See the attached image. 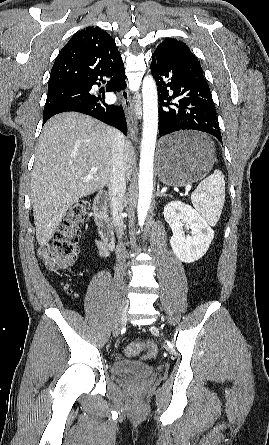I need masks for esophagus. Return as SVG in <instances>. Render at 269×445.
Wrapping results in <instances>:
<instances>
[{
  "instance_id": "esophagus-1",
  "label": "esophagus",
  "mask_w": 269,
  "mask_h": 445,
  "mask_svg": "<svg viewBox=\"0 0 269 445\" xmlns=\"http://www.w3.org/2000/svg\"><path fill=\"white\" fill-rule=\"evenodd\" d=\"M121 100L126 115L128 134L132 140L137 141V110L140 108V105L136 101L131 100L127 90L121 92Z\"/></svg>"
}]
</instances>
